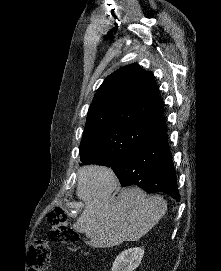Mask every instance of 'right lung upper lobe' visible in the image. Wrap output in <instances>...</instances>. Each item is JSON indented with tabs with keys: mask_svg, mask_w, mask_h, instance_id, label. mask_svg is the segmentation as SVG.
<instances>
[{
	"mask_svg": "<svg viewBox=\"0 0 221 271\" xmlns=\"http://www.w3.org/2000/svg\"><path fill=\"white\" fill-rule=\"evenodd\" d=\"M164 119L153 74L131 64L104 80L90 105L83 135L112 126L148 130Z\"/></svg>",
	"mask_w": 221,
	"mask_h": 271,
	"instance_id": "obj_1",
	"label": "right lung upper lobe"
}]
</instances>
